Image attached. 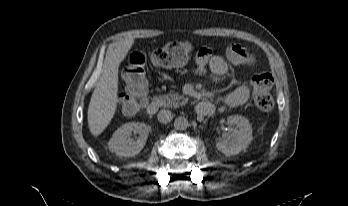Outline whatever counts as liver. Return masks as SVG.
I'll return each mask as SVG.
<instances>
[{
  "label": "liver",
  "mask_w": 348,
  "mask_h": 206,
  "mask_svg": "<svg viewBox=\"0 0 348 206\" xmlns=\"http://www.w3.org/2000/svg\"><path fill=\"white\" fill-rule=\"evenodd\" d=\"M133 43V39L122 41L105 59L87 113L89 130L94 136L100 135L114 117L118 100V68Z\"/></svg>",
  "instance_id": "1"
}]
</instances>
